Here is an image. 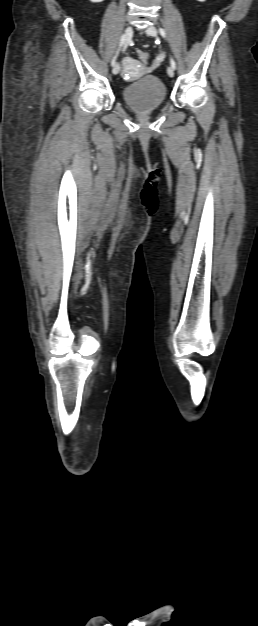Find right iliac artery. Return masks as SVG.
I'll return each instance as SVG.
<instances>
[{
  "label": "right iliac artery",
  "instance_id": "right-iliac-artery-1",
  "mask_svg": "<svg viewBox=\"0 0 258 626\" xmlns=\"http://www.w3.org/2000/svg\"><path fill=\"white\" fill-rule=\"evenodd\" d=\"M124 42H125V40H124V35H123V36L121 37V39H120V42H119V47H118V49H117V51H116V53H115L114 57H113V58H112V60H111V66H115L117 56H118V54H119V51H120L121 47L124 45Z\"/></svg>",
  "mask_w": 258,
  "mask_h": 626
}]
</instances>
